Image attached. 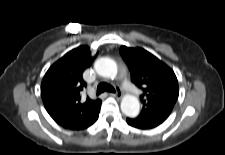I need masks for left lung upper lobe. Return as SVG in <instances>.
<instances>
[{"mask_svg": "<svg viewBox=\"0 0 225 155\" xmlns=\"http://www.w3.org/2000/svg\"><path fill=\"white\" fill-rule=\"evenodd\" d=\"M120 53L129 67L131 80L143 90L142 112L135 121L138 124H162L178 99L176 75L166 64L142 48L122 46Z\"/></svg>", "mask_w": 225, "mask_h": 155, "instance_id": "obj_1", "label": "left lung upper lobe"}]
</instances>
